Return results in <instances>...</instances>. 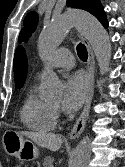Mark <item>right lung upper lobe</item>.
I'll return each mask as SVG.
<instances>
[{
    "label": "right lung upper lobe",
    "mask_w": 125,
    "mask_h": 167,
    "mask_svg": "<svg viewBox=\"0 0 125 167\" xmlns=\"http://www.w3.org/2000/svg\"><path fill=\"white\" fill-rule=\"evenodd\" d=\"M27 57L23 48L18 47L14 56L15 86L22 87L27 76Z\"/></svg>",
    "instance_id": "cb5924a9"
}]
</instances>
